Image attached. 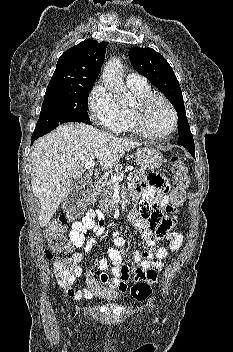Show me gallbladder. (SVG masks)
Segmentation results:
<instances>
[{
	"mask_svg": "<svg viewBox=\"0 0 233 352\" xmlns=\"http://www.w3.org/2000/svg\"><path fill=\"white\" fill-rule=\"evenodd\" d=\"M89 186V182L83 179H74L71 184V191L66 197L69 202H74L78 200L86 187Z\"/></svg>",
	"mask_w": 233,
	"mask_h": 352,
	"instance_id": "1",
	"label": "gallbladder"
}]
</instances>
